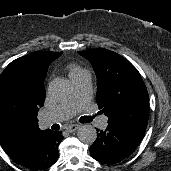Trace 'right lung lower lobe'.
<instances>
[{
	"label": "right lung lower lobe",
	"mask_w": 171,
	"mask_h": 171,
	"mask_svg": "<svg viewBox=\"0 0 171 171\" xmlns=\"http://www.w3.org/2000/svg\"><path fill=\"white\" fill-rule=\"evenodd\" d=\"M61 131H47L35 143L34 147L17 164L33 171L52 166L58 159V144L63 140Z\"/></svg>",
	"instance_id": "1"
}]
</instances>
